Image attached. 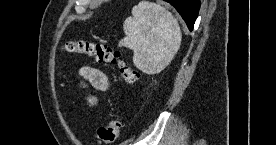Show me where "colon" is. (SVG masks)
<instances>
[{"mask_svg":"<svg viewBox=\"0 0 276 145\" xmlns=\"http://www.w3.org/2000/svg\"><path fill=\"white\" fill-rule=\"evenodd\" d=\"M64 49L69 53L84 54L98 63L117 65L122 79L127 83H134L138 79L137 70L124 62L121 52L106 44L87 40H71L65 44ZM121 129L122 121L119 118L110 119L97 130L99 142L104 145L114 143L119 138Z\"/></svg>","mask_w":276,"mask_h":145,"instance_id":"1","label":"colon"}]
</instances>
